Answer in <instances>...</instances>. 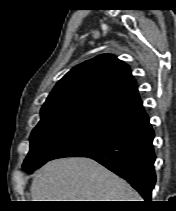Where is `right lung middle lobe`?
<instances>
[{
    "label": "right lung middle lobe",
    "instance_id": "right-lung-middle-lobe-1",
    "mask_svg": "<svg viewBox=\"0 0 176 211\" xmlns=\"http://www.w3.org/2000/svg\"><path fill=\"white\" fill-rule=\"evenodd\" d=\"M99 121L82 119L66 114L41 115V120L30 137V151L23 163L25 171L32 172L54 154L73 142Z\"/></svg>",
    "mask_w": 176,
    "mask_h": 211
}]
</instances>
